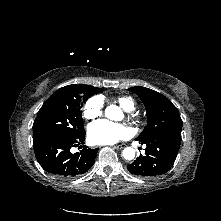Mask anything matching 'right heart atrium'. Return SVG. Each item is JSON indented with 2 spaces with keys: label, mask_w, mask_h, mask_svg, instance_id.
Listing matches in <instances>:
<instances>
[{
  "label": "right heart atrium",
  "mask_w": 221,
  "mask_h": 221,
  "mask_svg": "<svg viewBox=\"0 0 221 221\" xmlns=\"http://www.w3.org/2000/svg\"><path fill=\"white\" fill-rule=\"evenodd\" d=\"M103 106V99L100 96H93L83 105L82 115L86 120H93L101 115Z\"/></svg>",
  "instance_id": "right-heart-atrium-1"
}]
</instances>
